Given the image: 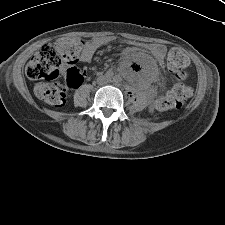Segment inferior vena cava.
<instances>
[{"mask_svg":"<svg viewBox=\"0 0 225 225\" xmlns=\"http://www.w3.org/2000/svg\"><path fill=\"white\" fill-rule=\"evenodd\" d=\"M106 83H107V81H105V80H104V81H100V82H99V85H104V84H106Z\"/></svg>","mask_w":225,"mask_h":225,"instance_id":"1","label":"inferior vena cava"}]
</instances>
